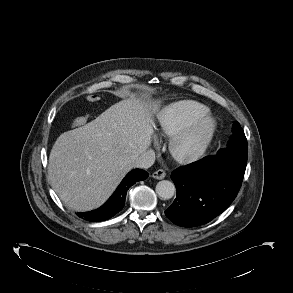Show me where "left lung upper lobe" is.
Listing matches in <instances>:
<instances>
[{
	"label": "left lung upper lobe",
	"mask_w": 293,
	"mask_h": 293,
	"mask_svg": "<svg viewBox=\"0 0 293 293\" xmlns=\"http://www.w3.org/2000/svg\"><path fill=\"white\" fill-rule=\"evenodd\" d=\"M233 133L234 135L231 137L228 143V149L233 146H237L238 144H243L247 142L244 131L242 130L238 122H235L233 125Z\"/></svg>",
	"instance_id": "1"
}]
</instances>
